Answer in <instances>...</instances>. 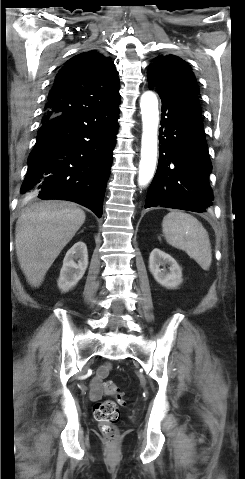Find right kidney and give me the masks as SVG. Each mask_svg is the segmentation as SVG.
I'll list each match as a JSON object with an SVG mask.
<instances>
[{"instance_id": "1", "label": "right kidney", "mask_w": 245, "mask_h": 479, "mask_svg": "<svg viewBox=\"0 0 245 479\" xmlns=\"http://www.w3.org/2000/svg\"><path fill=\"white\" fill-rule=\"evenodd\" d=\"M77 261V262H76ZM88 267V251L84 242L75 243L66 253L58 279V287L67 292L79 282Z\"/></svg>"}]
</instances>
